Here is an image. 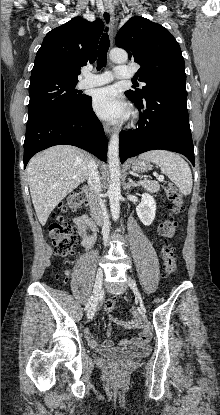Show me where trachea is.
Listing matches in <instances>:
<instances>
[{"label":"trachea","mask_w":220,"mask_h":415,"mask_svg":"<svg viewBox=\"0 0 220 415\" xmlns=\"http://www.w3.org/2000/svg\"><path fill=\"white\" fill-rule=\"evenodd\" d=\"M104 19L107 23L109 22L110 15L107 12L104 13ZM107 32L108 28L106 27L105 33H103L98 47L97 70H100L102 67L106 66L107 63V52L110 46L109 35ZM133 82H135V80H133Z\"/></svg>","instance_id":"obj_1"}]
</instances>
